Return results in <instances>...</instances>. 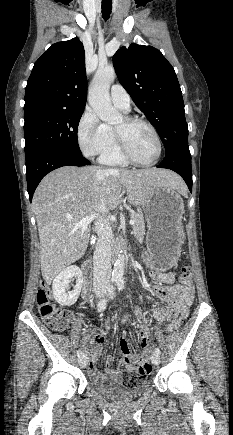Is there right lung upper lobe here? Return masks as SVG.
Segmentation results:
<instances>
[{"mask_svg": "<svg viewBox=\"0 0 233 435\" xmlns=\"http://www.w3.org/2000/svg\"><path fill=\"white\" fill-rule=\"evenodd\" d=\"M85 51L76 37L53 45L35 62L25 91L24 117L42 111L84 110Z\"/></svg>", "mask_w": 233, "mask_h": 435, "instance_id": "right-lung-upper-lobe-1", "label": "right lung upper lobe"}]
</instances>
